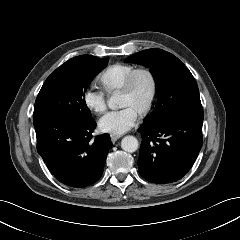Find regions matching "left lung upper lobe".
<instances>
[{"instance_id": "5c2ea615", "label": "left lung upper lobe", "mask_w": 240, "mask_h": 240, "mask_svg": "<svg viewBox=\"0 0 240 240\" xmlns=\"http://www.w3.org/2000/svg\"><path fill=\"white\" fill-rule=\"evenodd\" d=\"M126 60L150 68L157 83L158 100L155 111L144 124H159L177 116L203 118L197 83L176 56L161 49H148Z\"/></svg>"}]
</instances>
